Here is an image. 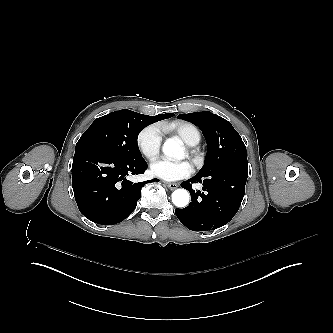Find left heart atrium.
<instances>
[{"instance_id":"1","label":"left heart atrium","mask_w":333,"mask_h":333,"mask_svg":"<svg viewBox=\"0 0 333 333\" xmlns=\"http://www.w3.org/2000/svg\"><path fill=\"white\" fill-rule=\"evenodd\" d=\"M194 172L193 165L188 161L170 162L160 160L156 162L151 173L167 181H177L190 177Z\"/></svg>"}]
</instances>
